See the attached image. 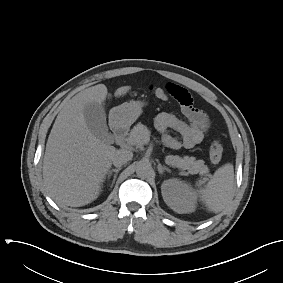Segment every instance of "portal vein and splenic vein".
<instances>
[{"label": "portal vein and splenic vein", "instance_id": "1", "mask_svg": "<svg viewBox=\"0 0 283 283\" xmlns=\"http://www.w3.org/2000/svg\"><path fill=\"white\" fill-rule=\"evenodd\" d=\"M149 141H150L149 135L145 136V137L143 138V140H142V142H143L144 144H147Z\"/></svg>", "mask_w": 283, "mask_h": 283}]
</instances>
